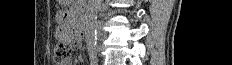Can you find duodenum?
<instances>
[{
    "instance_id": "1",
    "label": "duodenum",
    "mask_w": 232,
    "mask_h": 65,
    "mask_svg": "<svg viewBox=\"0 0 232 65\" xmlns=\"http://www.w3.org/2000/svg\"><path fill=\"white\" fill-rule=\"evenodd\" d=\"M86 29L83 21H80L77 27L78 40L81 42L85 37Z\"/></svg>"
}]
</instances>
